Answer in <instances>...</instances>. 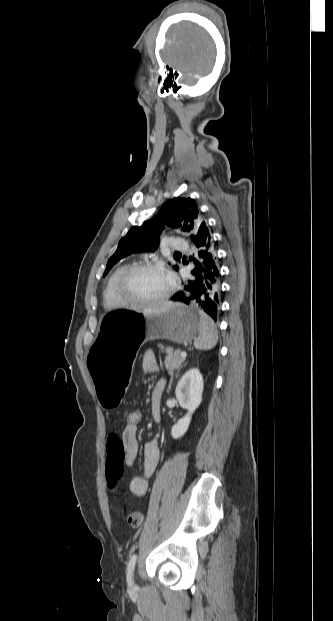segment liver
Listing matches in <instances>:
<instances>
[{"instance_id": "1", "label": "liver", "mask_w": 333, "mask_h": 621, "mask_svg": "<svg viewBox=\"0 0 333 621\" xmlns=\"http://www.w3.org/2000/svg\"><path fill=\"white\" fill-rule=\"evenodd\" d=\"M173 304L172 302H161L145 308L142 313L145 316L160 314L167 311Z\"/></svg>"}]
</instances>
